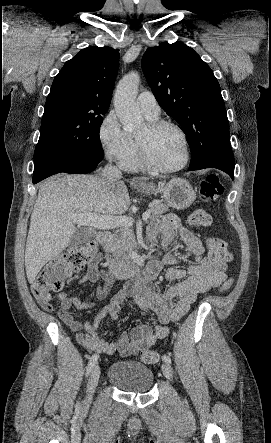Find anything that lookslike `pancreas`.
Segmentation results:
<instances>
[{"label":"pancreas","instance_id":"1","mask_svg":"<svg viewBox=\"0 0 271 443\" xmlns=\"http://www.w3.org/2000/svg\"><path fill=\"white\" fill-rule=\"evenodd\" d=\"M151 218L154 216H161V214H165L168 212V206L166 204H162L160 200H153L151 202ZM135 243V233L133 229H129V227H125L122 231H117L114 237H112L111 241L105 245L106 251L109 253H113V257H127V251H129L130 247H134Z\"/></svg>","mask_w":271,"mask_h":443}]
</instances>
